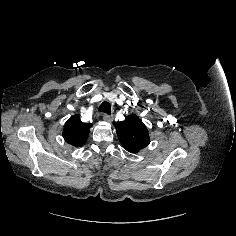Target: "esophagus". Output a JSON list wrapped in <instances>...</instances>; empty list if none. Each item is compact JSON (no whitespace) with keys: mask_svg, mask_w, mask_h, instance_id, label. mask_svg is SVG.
<instances>
[{"mask_svg":"<svg viewBox=\"0 0 236 236\" xmlns=\"http://www.w3.org/2000/svg\"><path fill=\"white\" fill-rule=\"evenodd\" d=\"M103 119L107 122H111L113 119V116L110 114H103Z\"/></svg>","mask_w":236,"mask_h":236,"instance_id":"34e87169","label":"esophagus"}]
</instances>
